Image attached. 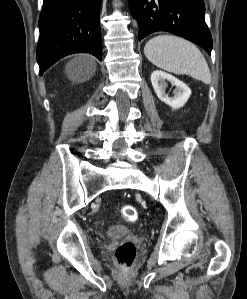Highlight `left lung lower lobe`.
<instances>
[{"label": "left lung lower lobe", "instance_id": "0a47b994", "mask_svg": "<svg viewBox=\"0 0 247 299\" xmlns=\"http://www.w3.org/2000/svg\"><path fill=\"white\" fill-rule=\"evenodd\" d=\"M137 19L139 40L157 31H167L204 48L209 55L212 37L205 23L203 0H129Z\"/></svg>", "mask_w": 247, "mask_h": 299}]
</instances>
